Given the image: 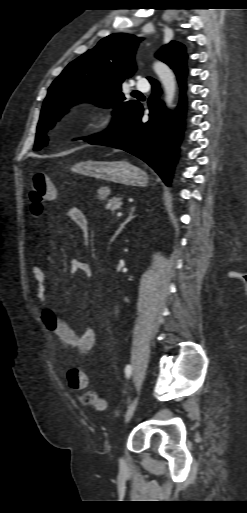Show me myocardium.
<instances>
[{
  "label": "myocardium",
  "mask_w": 247,
  "mask_h": 513,
  "mask_svg": "<svg viewBox=\"0 0 247 513\" xmlns=\"http://www.w3.org/2000/svg\"><path fill=\"white\" fill-rule=\"evenodd\" d=\"M89 127L96 129H105L111 124V118L102 111H94L86 118Z\"/></svg>",
  "instance_id": "obj_1"
}]
</instances>
